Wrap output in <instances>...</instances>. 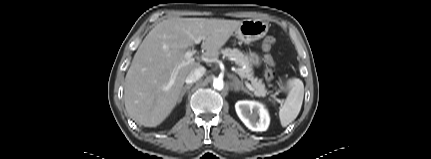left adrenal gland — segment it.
Listing matches in <instances>:
<instances>
[{
    "label": "left adrenal gland",
    "instance_id": "a2214340",
    "mask_svg": "<svg viewBox=\"0 0 431 159\" xmlns=\"http://www.w3.org/2000/svg\"><path fill=\"white\" fill-rule=\"evenodd\" d=\"M231 86H232V89H233L235 92L242 90V91H244L245 93H247V94H249V95H251V96H252V93H251L250 91H248V90L243 86V84L239 81V79H238L236 76H234V77H233V81L231 82Z\"/></svg>",
    "mask_w": 431,
    "mask_h": 159
}]
</instances>
